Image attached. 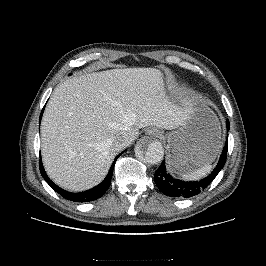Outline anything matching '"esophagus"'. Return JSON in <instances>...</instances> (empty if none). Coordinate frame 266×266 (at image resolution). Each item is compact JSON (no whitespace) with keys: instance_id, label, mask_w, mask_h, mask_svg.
I'll return each mask as SVG.
<instances>
[{"instance_id":"obj_1","label":"esophagus","mask_w":266,"mask_h":266,"mask_svg":"<svg viewBox=\"0 0 266 266\" xmlns=\"http://www.w3.org/2000/svg\"><path fill=\"white\" fill-rule=\"evenodd\" d=\"M147 133L149 134V135H152V136H154V137H161L162 136V132L160 131V130H158V129H149L148 131H147Z\"/></svg>"}]
</instances>
